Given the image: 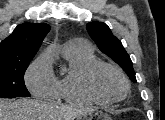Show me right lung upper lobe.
Returning a JSON list of instances; mask_svg holds the SVG:
<instances>
[{"label": "right lung upper lobe", "mask_w": 165, "mask_h": 120, "mask_svg": "<svg viewBox=\"0 0 165 120\" xmlns=\"http://www.w3.org/2000/svg\"><path fill=\"white\" fill-rule=\"evenodd\" d=\"M50 31L46 23H23L0 43V61L32 59Z\"/></svg>", "instance_id": "cb5924a9"}]
</instances>
